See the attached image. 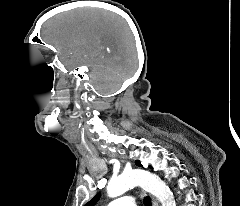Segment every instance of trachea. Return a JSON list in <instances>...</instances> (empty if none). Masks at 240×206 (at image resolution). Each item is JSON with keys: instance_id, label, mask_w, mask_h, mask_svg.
<instances>
[{"instance_id": "3493384b", "label": "trachea", "mask_w": 240, "mask_h": 206, "mask_svg": "<svg viewBox=\"0 0 240 206\" xmlns=\"http://www.w3.org/2000/svg\"><path fill=\"white\" fill-rule=\"evenodd\" d=\"M143 203L145 206H152L149 197H145Z\"/></svg>"}]
</instances>
